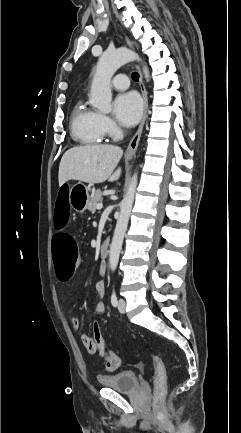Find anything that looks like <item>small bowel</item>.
Here are the masks:
<instances>
[{
    "label": "small bowel",
    "instance_id": "1",
    "mask_svg": "<svg viewBox=\"0 0 241 433\" xmlns=\"http://www.w3.org/2000/svg\"><path fill=\"white\" fill-rule=\"evenodd\" d=\"M100 271L104 272V266L100 267ZM95 290H96V293H97L98 298H99L97 303H96V306H95V312L97 314H103L106 310L105 302L103 300V298L105 296V292H106L105 282L103 280H99L95 284ZM71 324L75 329H78L81 325L80 319L78 317H72L71 318ZM81 341L89 353L94 354L97 352L95 349H89L88 348V342H93L92 337H90L87 334H82L81 335Z\"/></svg>",
    "mask_w": 241,
    "mask_h": 433
}]
</instances>
